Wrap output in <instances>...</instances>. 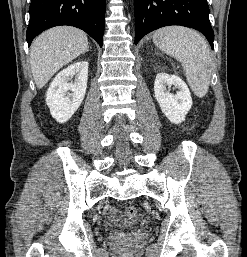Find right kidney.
Segmentation results:
<instances>
[{"mask_svg": "<svg viewBox=\"0 0 247 257\" xmlns=\"http://www.w3.org/2000/svg\"><path fill=\"white\" fill-rule=\"evenodd\" d=\"M74 76L75 81L69 82ZM87 80V61L69 65L53 79L47 90L46 104L57 122H67L80 107L86 93Z\"/></svg>", "mask_w": 247, "mask_h": 257, "instance_id": "1", "label": "right kidney"}]
</instances>
